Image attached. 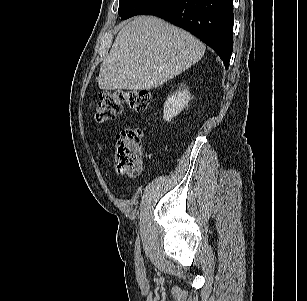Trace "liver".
<instances>
[{
	"mask_svg": "<svg viewBox=\"0 0 307 301\" xmlns=\"http://www.w3.org/2000/svg\"><path fill=\"white\" fill-rule=\"evenodd\" d=\"M205 45L190 33L157 17L139 16L119 31L103 61V90H142L161 86L198 62Z\"/></svg>",
	"mask_w": 307,
	"mask_h": 301,
	"instance_id": "obj_1",
	"label": "liver"
}]
</instances>
